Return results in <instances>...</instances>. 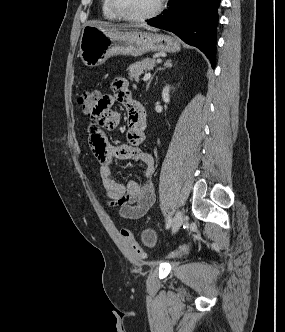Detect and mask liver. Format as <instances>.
Wrapping results in <instances>:
<instances>
[{
  "label": "liver",
  "mask_w": 285,
  "mask_h": 332,
  "mask_svg": "<svg viewBox=\"0 0 285 332\" xmlns=\"http://www.w3.org/2000/svg\"><path fill=\"white\" fill-rule=\"evenodd\" d=\"M104 27H106V28H109V29H112V30H114V31H119V29H116V28H113V27H110V26H108V25H103ZM146 29H148V30H151V31H156V29H154V28H152V27H148V26H144ZM123 28H125V27H123Z\"/></svg>",
  "instance_id": "6515ba94"
}]
</instances>
